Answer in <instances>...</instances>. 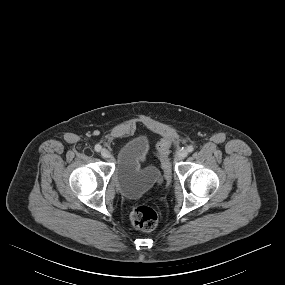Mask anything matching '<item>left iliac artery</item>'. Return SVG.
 <instances>
[{"mask_svg":"<svg viewBox=\"0 0 285 285\" xmlns=\"http://www.w3.org/2000/svg\"><path fill=\"white\" fill-rule=\"evenodd\" d=\"M193 150H194V147L192 145L187 147V151L188 152H193Z\"/></svg>","mask_w":285,"mask_h":285,"instance_id":"obj_1","label":"left iliac artery"}]
</instances>
